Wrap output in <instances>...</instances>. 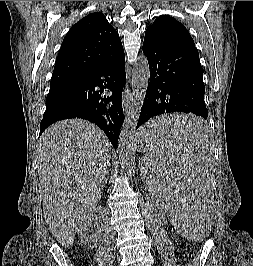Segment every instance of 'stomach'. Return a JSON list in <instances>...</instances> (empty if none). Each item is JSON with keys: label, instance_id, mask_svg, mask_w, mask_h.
I'll list each match as a JSON object with an SVG mask.
<instances>
[{"label": "stomach", "instance_id": "stomach-1", "mask_svg": "<svg viewBox=\"0 0 253 266\" xmlns=\"http://www.w3.org/2000/svg\"><path fill=\"white\" fill-rule=\"evenodd\" d=\"M141 138H147L146 136V132H144V127H142L138 133L137 139H138V143H139V147L141 149V145H140V140Z\"/></svg>", "mask_w": 253, "mask_h": 266}]
</instances>
